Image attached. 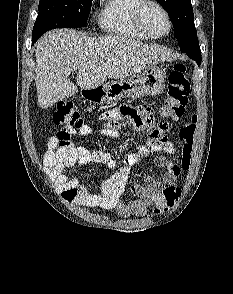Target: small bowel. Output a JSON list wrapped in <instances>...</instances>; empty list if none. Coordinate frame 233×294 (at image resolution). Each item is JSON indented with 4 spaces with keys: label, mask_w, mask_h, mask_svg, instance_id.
<instances>
[{
    "label": "small bowel",
    "mask_w": 233,
    "mask_h": 294,
    "mask_svg": "<svg viewBox=\"0 0 233 294\" xmlns=\"http://www.w3.org/2000/svg\"><path fill=\"white\" fill-rule=\"evenodd\" d=\"M121 107L108 110L99 116V121L103 124L98 128L97 133L116 139L120 135L122 122H127V126H134L138 129L151 126V129H143V134L149 137L145 145H138L135 152H127L125 156H114L108 151L86 149L82 146H75L71 142L60 147L56 134L48 139L44 165L55 182L62 188L63 196L68 201L90 208L115 210L122 217L143 216L158 193L167 187H175L181 167L162 155L156 156L154 164L166 168L162 180L156 181L150 176L146 177L143 186L137 185L132 188L135 198L130 201L123 200L122 194L132 166L141 162L150 153H172L174 145L166 135L169 131V123L166 120L154 123L158 108H153V104H135V108H131V104H122ZM61 131L83 137L94 133L93 128L87 124H83L79 129L67 127ZM135 137H142V132H135ZM117 161H123V163ZM76 163L81 165L102 164L110 169H118L103 183L98 192L92 193L86 186L80 185L76 178L64 173L65 169Z\"/></svg>",
    "instance_id": "small-bowel-1"
}]
</instances>
